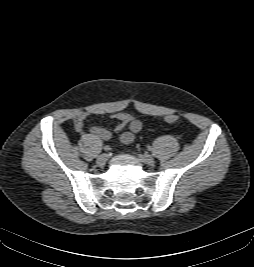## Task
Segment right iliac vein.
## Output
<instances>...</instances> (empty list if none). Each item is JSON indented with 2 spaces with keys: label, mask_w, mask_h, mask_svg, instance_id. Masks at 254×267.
Returning <instances> with one entry per match:
<instances>
[{
  "label": "right iliac vein",
  "mask_w": 254,
  "mask_h": 267,
  "mask_svg": "<svg viewBox=\"0 0 254 267\" xmlns=\"http://www.w3.org/2000/svg\"><path fill=\"white\" fill-rule=\"evenodd\" d=\"M107 158H108V155L107 154H105V153L104 154H101V155H99L97 157L96 162H97L98 165L102 166V165H104L106 163Z\"/></svg>",
  "instance_id": "obj_1"
}]
</instances>
